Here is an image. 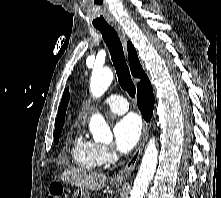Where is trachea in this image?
<instances>
[{"instance_id": "1", "label": "trachea", "mask_w": 221, "mask_h": 198, "mask_svg": "<svg viewBox=\"0 0 221 198\" xmlns=\"http://www.w3.org/2000/svg\"><path fill=\"white\" fill-rule=\"evenodd\" d=\"M110 51L118 81L123 90L131 97L135 96V85L131 79L130 71L125 60L122 43L113 27H97Z\"/></svg>"}]
</instances>
